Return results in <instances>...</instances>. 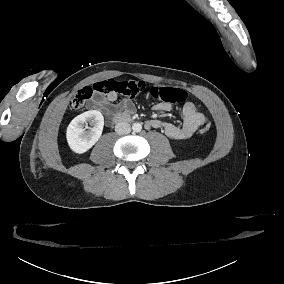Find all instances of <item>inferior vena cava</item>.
Listing matches in <instances>:
<instances>
[{
    "instance_id": "602c4592",
    "label": "inferior vena cava",
    "mask_w": 284,
    "mask_h": 284,
    "mask_svg": "<svg viewBox=\"0 0 284 284\" xmlns=\"http://www.w3.org/2000/svg\"><path fill=\"white\" fill-rule=\"evenodd\" d=\"M115 131L119 135L129 134L131 132V126L127 122H119L115 125Z\"/></svg>"
}]
</instances>
